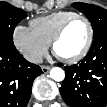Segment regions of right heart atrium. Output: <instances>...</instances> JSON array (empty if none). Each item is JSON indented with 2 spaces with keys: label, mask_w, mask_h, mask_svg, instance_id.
Masks as SVG:
<instances>
[{
  "label": "right heart atrium",
  "mask_w": 107,
  "mask_h": 107,
  "mask_svg": "<svg viewBox=\"0 0 107 107\" xmlns=\"http://www.w3.org/2000/svg\"><path fill=\"white\" fill-rule=\"evenodd\" d=\"M13 42L21 54L32 63H39L47 54L49 45L25 25H17L13 31Z\"/></svg>",
  "instance_id": "obj_1"
}]
</instances>
